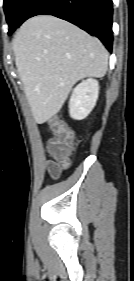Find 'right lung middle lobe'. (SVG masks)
I'll list each match as a JSON object with an SVG mask.
<instances>
[{
	"label": "right lung middle lobe",
	"mask_w": 134,
	"mask_h": 281,
	"mask_svg": "<svg viewBox=\"0 0 134 281\" xmlns=\"http://www.w3.org/2000/svg\"><path fill=\"white\" fill-rule=\"evenodd\" d=\"M30 0H4V11L9 24V32L11 34L20 26L23 12Z\"/></svg>",
	"instance_id": "dd1d6c3e"
}]
</instances>
